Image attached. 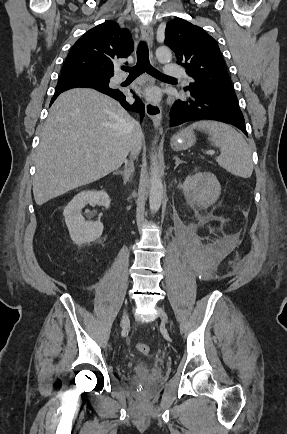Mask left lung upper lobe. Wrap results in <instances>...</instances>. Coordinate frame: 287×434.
<instances>
[{
    "instance_id": "1",
    "label": "left lung upper lobe",
    "mask_w": 287,
    "mask_h": 434,
    "mask_svg": "<svg viewBox=\"0 0 287 434\" xmlns=\"http://www.w3.org/2000/svg\"><path fill=\"white\" fill-rule=\"evenodd\" d=\"M165 44L194 79L185 90L197 88L236 96L217 42L201 27L175 18L167 23Z\"/></svg>"
}]
</instances>
